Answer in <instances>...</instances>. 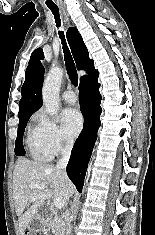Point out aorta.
<instances>
[{"instance_id": "aorta-1", "label": "aorta", "mask_w": 155, "mask_h": 235, "mask_svg": "<svg viewBox=\"0 0 155 235\" xmlns=\"http://www.w3.org/2000/svg\"><path fill=\"white\" fill-rule=\"evenodd\" d=\"M63 78V70L59 67H52L47 74L43 88L42 100L46 111L50 116H55L59 105V89ZM72 226L69 225L67 235L70 234Z\"/></svg>"}]
</instances>
